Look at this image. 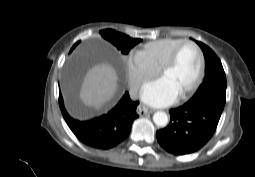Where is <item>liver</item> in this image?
I'll return each instance as SVG.
<instances>
[{
	"mask_svg": "<svg viewBox=\"0 0 255 177\" xmlns=\"http://www.w3.org/2000/svg\"><path fill=\"white\" fill-rule=\"evenodd\" d=\"M117 72L108 63L97 64L90 68L81 84L79 98L90 108L100 109L117 92Z\"/></svg>",
	"mask_w": 255,
	"mask_h": 177,
	"instance_id": "6515ba94",
	"label": "liver"
}]
</instances>
